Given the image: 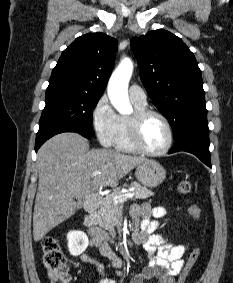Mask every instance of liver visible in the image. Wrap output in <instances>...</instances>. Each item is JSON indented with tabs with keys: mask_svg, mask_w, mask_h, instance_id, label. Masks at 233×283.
<instances>
[{
	"mask_svg": "<svg viewBox=\"0 0 233 283\" xmlns=\"http://www.w3.org/2000/svg\"><path fill=\"white\" fill-rule=\"evenodd\" d=\"M147 160L110 149L89 150L88 140L74 132L49 139L37 154L39 182L33 213L34 240H41L70 218L79 200L99 187L117 186L121 178ZM95 171L101 174L92 176Z\"/></svg>",
	"mask_w": 233,
	"mask_h": 283,
	"instance_id": "6515ba94",
	"label": "liver"
}]
</instances>
